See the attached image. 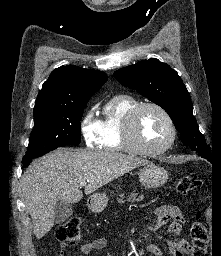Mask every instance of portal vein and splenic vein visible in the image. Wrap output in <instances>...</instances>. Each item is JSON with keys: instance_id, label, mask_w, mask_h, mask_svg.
Returning a JSON list of instances; mask_svg holds the SVG:
<instances>
[{"instance_id": "obj_1", "label": "portal vein and splenic vein", "mask_w": 221, "mask_h": 256, "mask_svg": "<svg viewBox=\"0 0 221 256\" xmlns=\"http://www.w3.org/2000/svg\"><path fill=\"white\" fill-rule=\"evenodd\" d=\"M86 183H87L86 181H81V182H80V186H85Z\"/></svg>"}]
</instances>
